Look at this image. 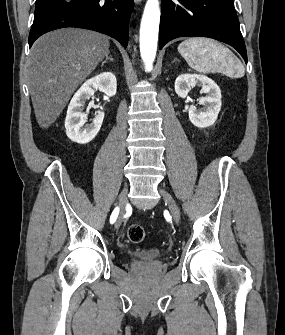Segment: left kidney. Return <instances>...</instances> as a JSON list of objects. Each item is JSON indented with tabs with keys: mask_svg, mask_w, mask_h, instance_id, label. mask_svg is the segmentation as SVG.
Listing matches in <instances>:
<instances>
[{
	"mask_svg": "<svg viewBox=\"0 0 285 335\" xmlns=\"http://www.w3.org/2000/svg\"><path fill=\"white\" fill-rule=\"evenodd\" d=\"M194 86H201V94H207V96L199 100V104L205 106L203 110L190 106L189 120L197 128L213 126L221 110V90L211 78L199 76V74H181L175 80V92L179 98H187L188 92Z\"/></svg>",
	"mask_w": 285,
	"mask_h": 335,
	"instance_id": "1",
	"label": "left kidney"
}]
</instances>
